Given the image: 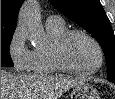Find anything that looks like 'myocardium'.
<instances>
[{
    "label": "myocardium",
    "instance_id": "myocardium-1",
    "mask_svg": "<svg viewBox=\"0 0 115 99\" xmlns=\"http://www.w3.org/2000/svg\"><path fill=\"white\" fill-rule=\"evenodd\" d=\"M75 35L84 36L95 46L98 53V64L96 65V67L89 70H81L72 66L66 59V56H65L66 44L69 41V39ZM53 58L56 64L63 71L70 72L76 75H81V76H88V75L95 74L102 68L103 63H104V53H103L100 43L90 33L81 29L67 30L65 33H63L59 37V39L57 40L53 48Z\"/></svg>",
    "mask_w": 115,
    "mask_h": 99
}]
</instances>
